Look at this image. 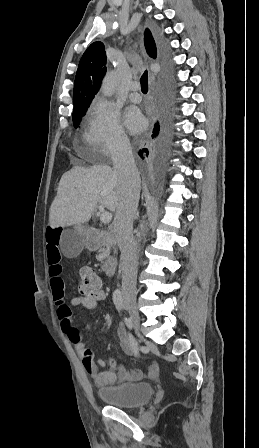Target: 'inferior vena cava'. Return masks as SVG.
<instances>
[{
  "label": "inferior vena cava",
  "mask_w": 259,
  "mask_h": 448,
  "mask_svg": "<svg viewBox=\"0 0 259 448\" xmlns=\"http://www.w3.org/2000/svg\"><path fill=\"white\" fill-rule=\"evenodd\" d=\"M112 160L113 172L118 176L120 190L113 232L121 252L122 296L127 304V302H135L136 298L138 250L133 240V222L138 208L141 182L130 140L125 136L115 140Z\"/></svg>",
  "instance_id": "obj_1"
}]
</instances>
